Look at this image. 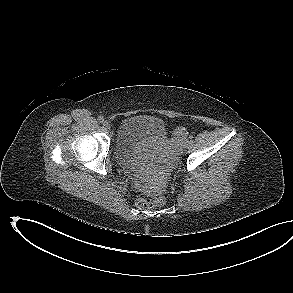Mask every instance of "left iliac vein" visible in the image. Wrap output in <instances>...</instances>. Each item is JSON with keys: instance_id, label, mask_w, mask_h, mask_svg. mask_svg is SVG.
I'll list each match as a JSON object with an SVG mask.
<instances>
[{"instance_id": "1", "label": "left iliac vein", "mask_w": 293, "mask_h": 293, "mask_svg": "<svg viewBox=\"0 0 293 293\" xmlns=\"http://www.w3.org/2000/svg\"><path fill=\"white\" fill-rule=\"evenodd\" d=\"M188 145V139L187 138H184V140L182 141V147L183 148H186Z\"/></svg>"}]
</instances>
